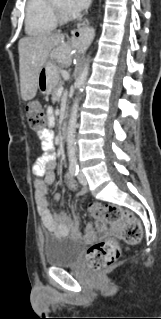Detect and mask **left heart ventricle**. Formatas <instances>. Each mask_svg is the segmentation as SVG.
Listing matches in <instances>:
<instances>
[{
	"instance_id": "obj_1",
	"label": "left heart ventricle",
	"mask_w": 161,
	"mask_h": 319,
	"mask_svg": "<svg viewBox=\"0 0 161 319\" xmlns=\"http://www.w3.org/2000/svg\"><path fill=\"white\" fill-rule=\"evenodd\" d=\"M54 3L61 9H63L66 13H67V10H66V1L65 0H54Z\"/></svg>"
}]
</instances>
